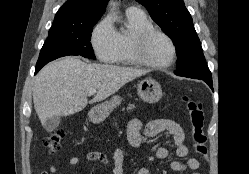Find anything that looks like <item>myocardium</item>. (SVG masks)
Listing matches in <instances>:
<instances>
[{
    "label": "myocardium",
    "instance_id": "myocardium-1",
    "mask_svg": "<svg viewBox=\"0 0 249 174\" xmlns=\"http://www.w3.org/2000/svg\"><path fill=\"white\" fill-rule=\"evenodd\" d=\"M155 35L162 36L171 45L172 57L166 63L153 62L149 60L145 54L147 43ZM130 52H131L133 59L135 60L137 64H140L142 66L152 68V69L167 68L175 62L176 57H177V47H176L174 40L166 32L158 28H155L153 26L145 28L133 36L131 43H130Z\"/></svg>",
    "mask_w": 249,
    "mask_h": 174
}]
</instances>
